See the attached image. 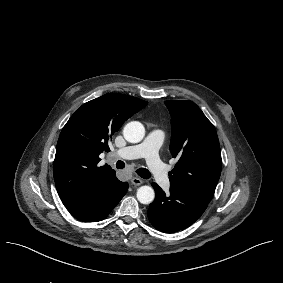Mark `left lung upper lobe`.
I'll return each instance as SVG.
<instances>
[{
  "mask_svg": "<svg viewBox=\"0 0 283 283\" xmlns=\"http://www.w3.org/2000/svg\"><path fill=\"white\" fill-rule=\"evenodd\" d=\"M171 114L170 185L209 203L218 183L222 160L215 127L192 101H165Z\"/></svg>",
  "mask_w": 283,
  "mask_h": 283,
  "instance_id": "obj_1",
  "label": "left lung upper lobe"
}]
</instances>
